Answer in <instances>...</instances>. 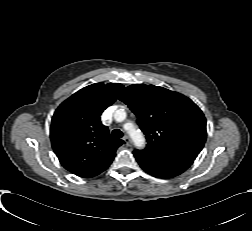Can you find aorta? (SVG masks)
Returning a JSON list of instances; mask_svg holds the SVG:
<instances>
[{
	"mask_svg": "<svg viewBox=\"0 0 252 231\" xmlns=\"http://www.w3.org/2000/svg\"><path fill=\"white\" fill-rule=\"evenodd\" d=\"M129 134H130V137L132 138L135 146H137L139 148H143L145 146V138H144L143 134L141 133V131L132 128L129 131Z\"/></svg>",
	"mask_w": 252,
	"mask_h": 231,
	"instance_id": "obj_1",
	"label": "aorta"
}]
</instances>
